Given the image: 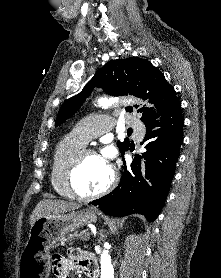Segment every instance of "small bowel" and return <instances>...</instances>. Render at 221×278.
I'll return each instance as SVG.
<instances>
[{
	"label": "small bowel",
	"mask_w": 221,
	"mask_h": 278,
	"mask_svg": "<svg viewBox=\"0 0 221 278\" xmlns=\"http://www.w3.org/2000/svg\"><path fill=\"white\" fill-rule=\"evenodd\" d=\"M91 261L95 262L90 255L71 249L65 255L55 254L52 257V270L57 278H68L75 264L85 270Z\"/></svg>",
	"instance_id": "obj_1"
}]
</instances>
